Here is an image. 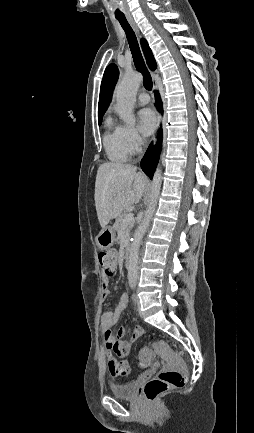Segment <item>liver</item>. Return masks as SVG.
Here are the masks:
<instances>
[{
  "label": "liver",
  "mask_w": 254,
  "mask_h": 433,
  "mask_svg": "<svg viewBox=\"0 0 254 433\" xmlns=\"http://www.w3.org/2000/svg\"><path fill=\"white\" fill-rule=\"evenodd\" d=\"M147 178L130 164L107 162L99 166L95 182V206L100 226L140 202Z\"/></svg>",
  "instance_id": "liver-1"
}]
</instances>
